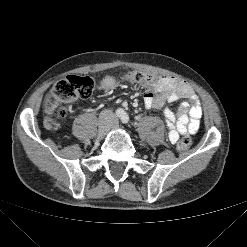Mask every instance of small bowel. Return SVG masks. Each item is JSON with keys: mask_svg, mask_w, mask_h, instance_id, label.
I'll list each match as a JSON object with an SVG mask.
<instances>
[{"mask_svg": "<svg viewBox=\"0 0 247 247\" xmlns=\"http://www.w3.org/2000/svg\"><path fill=\"white\" fill-rule=\"evenodd\" d=\"M180 98L187 99L177 112L169 107L163 109V115L168 127V139L176 143L181 136L197 132L202 117V108L198 96L184 81L174 78H161L152 84L144 95V105L147 109H161L166 103L176 102Z\"/></svg>", "mask_w": 247, "mask_h": 247, "instance_id": "obj_1", "label": "small bowel"}]
</instances>
